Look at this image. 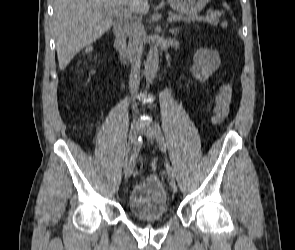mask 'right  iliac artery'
Listing matches in <instances>:
<instances>
[{
  "instance_id": "1",
  "label": "right iliac artery",
  "mask_w": 295,
  "mask_h": 250,
  "mask_svg": "<svg viewBox=\"0 0 295 250\" xmlns=\"http://www.w3.org/2000/svg\"><path fill=\"white\" fill-rule=\"evenodd\" d=\"M141 141V137H139L136 142ZM141 143H136L135 147H133V153L131 154L129 160L126 159L124 167H127L128 169L132 170L134 167L135 159L137 154H141Z\"/></svg>"
}]
</instances>
